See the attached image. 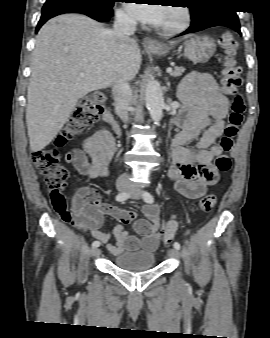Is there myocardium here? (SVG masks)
<instances>
[{
  "label": "myocardium",
  "mask_w": 270,
  "mask_h": 338,
  "mask_svg": "<svg viewBox=\"0 0 270 338\" xmlns=\"http://www.w3.org/2000/svg\"><path fill=\"white\" fill-rule=\"evenodd\" d=\"M176 1V0H173ZM169 8H176L180 13V20L178 23L171 26L155 27L156 31L163 35H176L185 31L191 24L192 21V13L187 6H183L182 4H173L172 6H168Z\"/></svg>",
  "instance_id": "obj_1"
}]
</instances>
